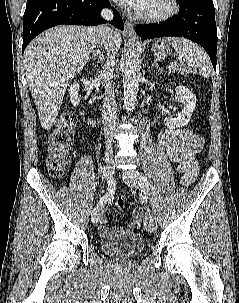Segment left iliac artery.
Masks as SVG:
<instances>
[{"label":"left iliac artery","mask_w":239,"mask_h":303,"mask_svg":"<svg viewBox=\"0 0 239 303\" xmlns=\"http://www.w3.org/2000/svg\"><path fill=\"white\" fill-rule=\"evenodd\" d=\"M136 177L138 179V184L141 188V196L147 200L149 195V182L143 173L137 172ZM149 212V209H147Z\"/></svg>","instance_id":"obj_1"}]
</instances>
